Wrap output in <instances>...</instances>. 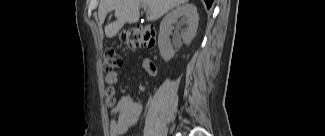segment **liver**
<instances>
[{"instance_id": "1", "label": "liver", "mask_w": 325, "mask_h": 136, "mask_svg": "<svg viewBox=\"0 0 325 136\" xmlns=\"http://www.w3.org/2000/svg\"><path fill=\"white\" fill-rule=\"evenodd\" d=\"M187 0H100L98 16L100 24H103L106 15L114 10L116 21L105 26L107 37H114L125 23H136L139 20L140 4L148 7L147 20L154 21L179 6Z\"/></svg>"}]
</instances>
